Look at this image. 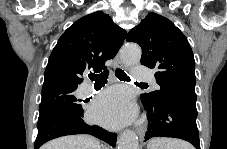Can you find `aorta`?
Here are the masks:
<instances>
[{"instance_id": "762f6f07", "label": "aorta", "mask_w": 227, "mask_h": 149, "mask_svg": "<svg viewBox=\"0 0 227 149\" xmlns=\"http://www.w3.org/2000/svg\"><path fill=\"white\" fill-rule=\"evenodd\" d=\"M121 59L128 65L137 64L141 59V49L136 45H126L121 50ZM118 149H139L138 137L132 130H125L119 140Z\"/></svg>"}]
</instances>
